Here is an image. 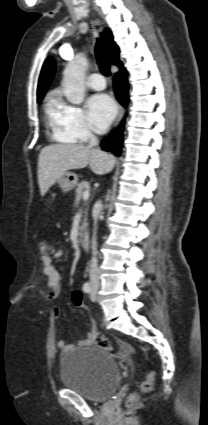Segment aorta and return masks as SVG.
<instances>
[{"label": "aorta", "mask_w": 208, "mask_h": 425, "mask_svg": "<svg viewBox=\"0 0 208 425\" xmlns=\"http://www.w3.org/2000/svg\"><path fill=\"white\" fill-rule=\"evenodd\" d=\"M88 60L83 54L77 55L64 70L62 84L66 99L75 105L82 103L85 96V72Z\"/></svg>", "instance_id": "1"}]
</instances>
